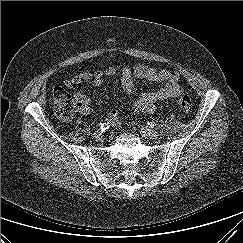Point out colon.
<instances>
[{
	"mask_svg": "<svg viewBox=\"0 0 243 243\" xmlns=\"http://www.w3.org/2000/svg\"><path fill=\"white\" fill-rule=\"evenodd\" d=\"M53 96L55 114L62 120H69L78 107L77 100L63 87H55ZM177 104L183 111L189 112L193 106V101L189 95L185 94L179 97Z\"/></svg>",
	"mask_w": 243,
	"mask_h": 243,
	"instance_id": "colon-1",
	"label": "colon"
}]
</instances>
